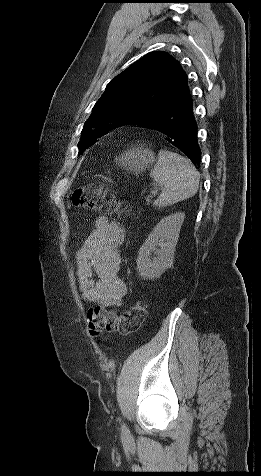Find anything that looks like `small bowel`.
Wrapping results in <instances>:
<instances>
[{
  "mask_svg": "<svg viewBox=\"0 0 261 476\" xmlns=\"http://www.w3.org/2000/svg\"><path fill=\"white\" fill-rule=\"evenodd\" d=\"M124 237L123 227L105 217H98L79 247L76 274L85 301L104 308L122 304L127 286L121 277L119 248Z\"/></svg>",
  "mask_w": 261,
  "mask_h": 476,
  "instance_id": "c3829d8e",
  "label": "small bowel"
}]
</instances>
